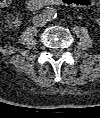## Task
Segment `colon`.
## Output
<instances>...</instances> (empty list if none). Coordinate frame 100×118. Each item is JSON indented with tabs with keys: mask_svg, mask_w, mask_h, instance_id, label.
<instances>
[{
	"mask_svg": "<svg viewBox=\"0 0 100 118\" xmlns=\"http://www.w3.org/2000/svg\"><path fill=\"white\" fill-rule=\"evenodd\" d=\"M93 0H67L68 4H80L84 6L91 5ZM11 3V0H0V4L3 8L7 7Z\"/></svg>",
	"mask_w": 100,
	"mask_h": 118,
	"instance_id": "5ec220e1",
	"label": "colon"
}]
</instances>
